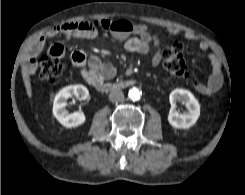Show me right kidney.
Segmentation results:
<instances>
[{
	"mask_svg": "<svg viewBox=\"0 0 245 195\" xmlns=\"http://www.w3.org/2000/svg\"><path fill=\"white\" fill-rule=\"evenodd\" d=\"M71 96L85 100L89 96V91L83 85H70L60 90L55 96L53 114L67 128L80 126L86 121V117L82 111L70 113L66 110L67 99Z\"/></svg>",
	"mask_w": 245,
	"mask_h": 195,
	"instance_id": "ca27d5eb",
	"label": "right kidney"
}]
</instances>
